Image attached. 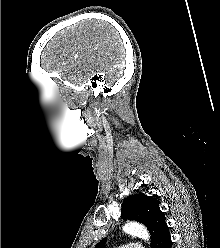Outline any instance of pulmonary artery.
<instances>
[{
	"instance_id": "e3ab8cb5",
	"label": "pulmonary artery",
	"mask_w": 220,
	"mask_h": 248,
	"mask_svg": "<svg viewBox=\"0 0 220 248\" xmlns=\"http://www.w3.org/2000/svg\"><path fill=\"white\" fill-rule=\"evenodd\" d=\"M119 248H143V247L140 244L132 243V244L121 246Z\"/></svg>"
}]
</instances>
